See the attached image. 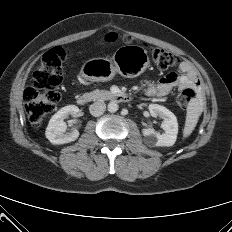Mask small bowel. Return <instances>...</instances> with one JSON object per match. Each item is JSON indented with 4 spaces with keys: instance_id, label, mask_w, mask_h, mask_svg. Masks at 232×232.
Listing matches in <instances>:
<instances>
[{
    "instance_id": "small-bowel-1",
    "label": "small bowel",
    "mask_w": 232,
    "mask_h": 232,
    "mask_svg": "<svg viewBox=\"0 0 232 232\" xmlns=\"http://www.w3.org/2000/svg\"><path fill=\"white\" fill-rule=\"evenodd\" d=\"M143 87L148 96L165 97L175 88L188 87L200 91L201 83L192 63L183 60L179 65V73H168L157 83L144 85Z\"/></svg>"
}]
</instances>
